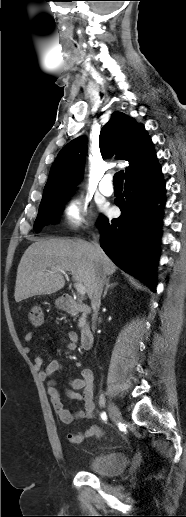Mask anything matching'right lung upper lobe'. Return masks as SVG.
Masks as SVG:
<instances>
[{"mask_svg":"<svg viewBox=\"0 0 186 517\" xmlns=\"http://www.w3.org/2000/svg\"><path fill=\"white\" fill-rule=\"evenodd\" d=\"M144 130L143 125L121 112H114L101 130V154L116 155V158L129 162L125 179L156 162L152 141ZM85 154L86 138L83 136L62 148L51 167L42 200L74 191L83 174Z\"/></svg>","mask_w":186,"mask_h":517,"instance_id":"obj_1","label":"right lung upper lobe"}]
</instances>
